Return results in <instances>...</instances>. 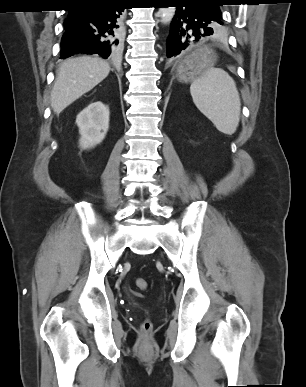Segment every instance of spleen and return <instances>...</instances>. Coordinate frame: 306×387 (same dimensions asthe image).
Returning <instances> with one entry per match:
<instances>
[{"label": "spleen", "mask_w": 306, "mask_h": 387, "mask_svg": "<svg viewBox=\"0 0 306 387\" xmlns=\"http://www.w3.org/2000/svg\"><path fill=\"white\" fill-rule=\"evenodd\" d=\"M190 93L196 107L220 132L232 135L236 131L241 102L236 84L227 72L206 68L193 80Z\"/></svg>", "instance_id": "obj_1"}]
</instances>
